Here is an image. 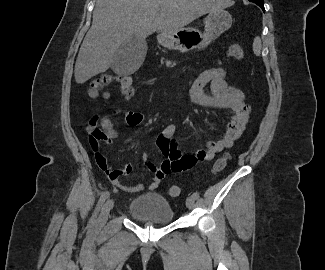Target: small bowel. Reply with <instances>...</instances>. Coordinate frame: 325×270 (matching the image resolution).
Listing matches in <instances>:
<instances>
[{
	"label": "small bowel",
	"mask_w": 325,
	"mask_h": 270,
	"mask_svg": "<svg viewBox=\"0 0 325 270\" xmlns=\"http://www.w3.org/2000/svg\"><path fill=\"white\" fill-rule=\"evenodd\" d=\"M197 77H200L201 81L198 82L197 86H194L193 82L196 81ZM207 84L210 85V93L204 91ZM189 96L193 103L204 108H227L231 110L232 118L220 140L209 142L206 149L198 150L193 155L181 153L174 138L177 127L174 124L167 125L158 137V145L165 160L160 165H156L147 154L141 156L146 168L154 174L147 187L148 190H155L164 177L171 172H181L192 168L199 161L212 160L217 153L231 148L244 131L250 109L244 102L243 93L227 84L225 72L221 67H209L208 70L203 69L197 72L190 84ZM119 114L123 115L127 124L133 127L139 126L143 121V115L139 112L120 109L110 111L112 116ZM106 143L111 144V141ZM95 160L116 187L130 193H137L145 189L143 185L127 186L120 183L119 176L129 174L132 171L130 163H126L121 169H112L102 153H95Z\"/></svg>",
	"instance_id": "small-bowel-1"
}]
</instances>
